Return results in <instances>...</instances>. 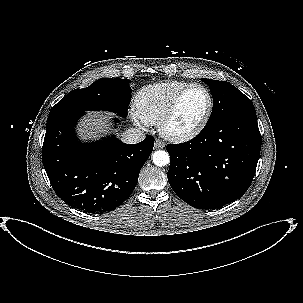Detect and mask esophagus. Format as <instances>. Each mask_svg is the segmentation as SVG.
<instances>
[{"label":"esophagus","instance_id":"34e87169","mask_svg":"<svg viewBox=\"0 0 303 303\" xmlns=\"http://www.w3.org/2000/svg\"><path fill=\"white\" fill-rule=\"evenodd\" d=\"M165 147V143L160 139H155L154 148L155 149H162Z\"/></svg>","mask_w":303,"mask_h":303}]
</instances>
